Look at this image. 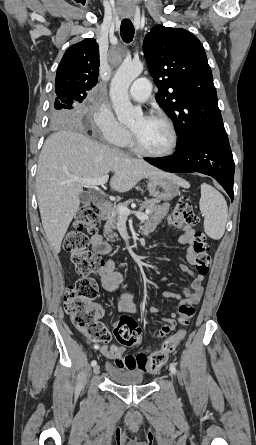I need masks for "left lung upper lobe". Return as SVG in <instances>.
Instances as JSON below:
<instances>
[{
    "label": "left lung upper lobe",
    "instance_id": "5c2ea615",
    "mask_svg": "<svg viewBox=\"0 0 256 445\" xmlns=\"http://www.w3.org/2000/svg\"><path fill=\"white\" fill-rule=\"evenodd\" d=\"M143 52L158 88L155 98L173 120L179 143L192 133L224 129L211 68L201 42L185 29L155 26Z\"/></svg>",
    "mask_w": 256,
    "mask_h": 445
}]
</instances>
